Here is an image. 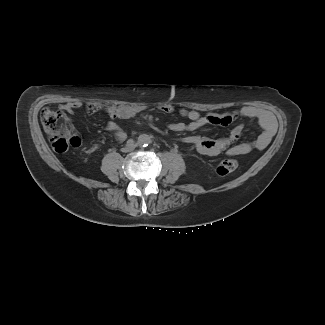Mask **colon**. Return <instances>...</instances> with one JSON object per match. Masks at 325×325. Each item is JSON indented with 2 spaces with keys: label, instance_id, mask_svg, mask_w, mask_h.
Segmentation results:
<instances>
[{
  "label": "colon",
  "instance_id": "colon-1",
  "mask_svg": "<svg viewBox=\"0 0 325 325\" xmlns=\"http://www.w3.org/2000/svg\"><path fill=\"white\" fill-rule=\"evenodd\" d=\"M41 122L56 152L65 153L71 146L79 144V139L72 135L69 122L62 111L45 108L41 113ZM238 167L237 160L226 158L218 164L217 173L227 175L236 171Z\"/></svg>",
  "mask_w": 325,
  "mask_h": 325
}]
</instances>
